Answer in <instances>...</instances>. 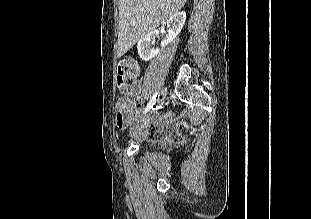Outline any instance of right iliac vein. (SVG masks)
<instances>
[{"instance_id": "right-iliac-vein-1", "label": "right iliac vein", "mask_w": 311, "mask_h": 219, "mask_svg": "<svg viewBox=\"0 0 311 219\" xmlns=\"http://www.w3.org/2000/svg\"><path fill=\"white\" fill-rule=\"evenodd\" d=\"M166 94H167L166 88L162 89L161 92H160V97L161 98H158V103H160L165 98Z\"/></svg>"}]
</instances>
